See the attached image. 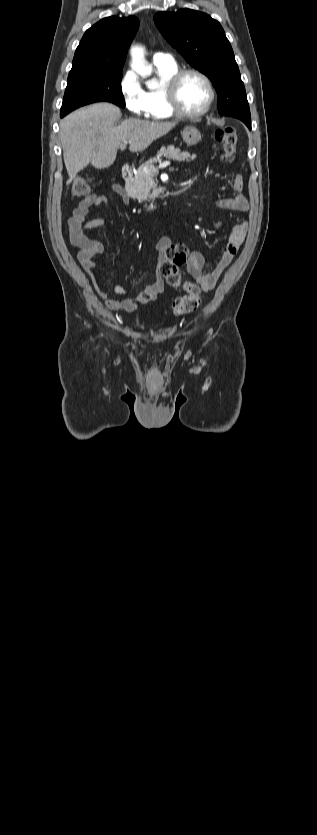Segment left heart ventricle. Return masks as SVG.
Returning a JSON list of instances; mask_svg holds the SVG:
<instances>
[{
  "instance_id": "left-heart-ventricle-1",
  "label": "left heart ventricle",
  "mask_w": 317,
  "mask_h": 835,
  "mask_svg": "<svg viewBox=\"0 0 317 835\" xmlns=\"http://www.w3.org/2000/svg\"><path fill=\"white\" fill-rule=\"evenodd\" d=\"M209 98L205 82L196 75H188L181 82L179 101L183 110L196 113L204 108Z\"/></svg>"
}]
</instances>
